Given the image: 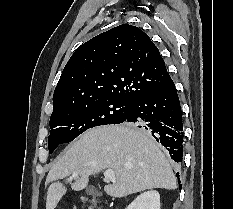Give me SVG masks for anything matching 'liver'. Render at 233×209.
Returning a JSON list of instances; mask_svg holds the SVG:
<instances>
[{
    "instance_id": "1",
    "label": "liver",
    "mask_w": 233,
    "mask_h": 209,
    "mask_svg": "<svg viewBox=\"0 0 233 209\" xmlns=\"http://www.w3.org/2000/svg\"><path fill=\"white\" fill-rule=\"evenodd\" d=\"M112 169L115 182L104 187L121 198L153 188L176 189V178L153 138L131 124L90 129L73 142L48 173L46 209H55L67 188L59 180L75 175L72 190L84 189L89 176Z\"/></svg>"
}]
</instances>
